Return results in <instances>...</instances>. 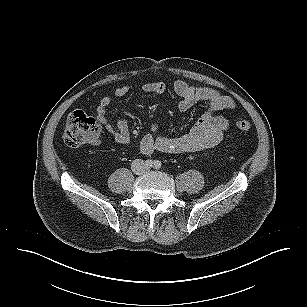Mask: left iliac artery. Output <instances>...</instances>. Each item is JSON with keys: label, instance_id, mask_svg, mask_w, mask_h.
<instances>
[{"label": "left iliac artery", "instance_id": "left-iliac-artery-1", "mask_svg": "<svg viewBox=\"0 0 307 307\" xmlns=\"http://www.w3.org/2000/svg\"><path fill=\"white\" fill-rule=\"evenodd\" d=\"M161 166H162L161 161H159V160L154 161V167H155L156 169L161 168Z\"/></svg>", "mask_w": 307, "mask_h": 307}]
</instances>
